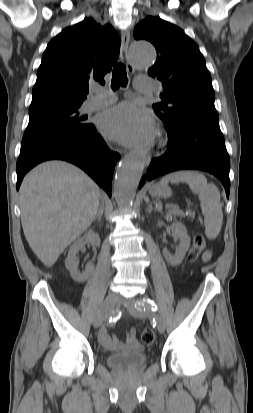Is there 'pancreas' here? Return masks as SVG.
<instances>
[{"instance_id": "obj_1", "label": "pancreas", "mask_w": 253, "mask_h": 413, "mask_svg": "<svg viewBox=\"0 0 253 413\" xmlns=\"http://www.w3.org/2000/svg\"><path fill=\"white\" fill-rule=\"evenodd\" d=\"M169 214L170 215H174V216H181L182 215V212H180L177 208H173V209H171L170 211H169Z\"/></svg>"}]
</instances>
